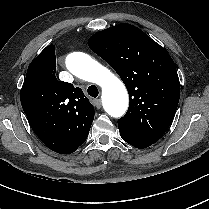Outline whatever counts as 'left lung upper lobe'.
I'll use <instances>...</instances> for the list:
<instances>
[{
  "instance_id": "5c2ea615",
  "label": "left lung upper lobe",
  "mask_w": 209,
  "mask_h": 209,
  "mask_svg": "<svg viewBox=\"0 0 209 209\" xmlns=\"http://www.w3.org/2000/svg\"><path fill=\"white\" fill-rule=\"evenodd\" d=\"M89 47L121 77L130 99L120 131L156 143L173 121L180 97L175 64L167 51L139 28L121 23L99 31Z\"/></svg>"
}]
</instances>
